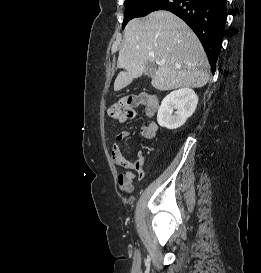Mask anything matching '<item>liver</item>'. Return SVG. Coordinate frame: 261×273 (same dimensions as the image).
Here are the masks:
<instances>
[{
  "label": "liver",
  "instance_id": "obj_1",
  "mask_svg": "<svg viewBox=\"0 0 261 273\" xmlns=\"http://www.w3.org/2000/svg\"><path fill=\"white\" fill-rule=\"evenodd\" d=\"M163 61L155 69L151 85L160 91L201 88L210 78L206 53L192 30L179 17L159 10L132 19L124 30V44L118 56L121 71L114 91H120L145 72L147 62Z\"/></svg>",
  "mask_w": 261,
  "mask_h": 273
}]
</instances>
